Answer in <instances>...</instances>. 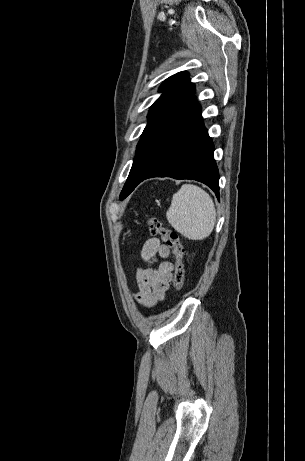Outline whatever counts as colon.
Returning a JSON list of instances; mask_svg holds the SVG:
<instances>
[{
  "instance_id": "5ec220e1",
  "label": "colon",
  "mask_w": 305,
  "mask_h": 461,
  "mask_svg": "<svg viewBox=\"0 0 305 461\" xmlns=\"http://www.w3.org/2000/svg\"><path fill=\"white\" fill-rule=\"evenodd\" d=\"M146 225L152 236H160L172 249L175 263L174 286L177 290H181L185 281L184 248L177 233L166 228L157 218L148 219Z\"/></svg>"
}]
</instances>
